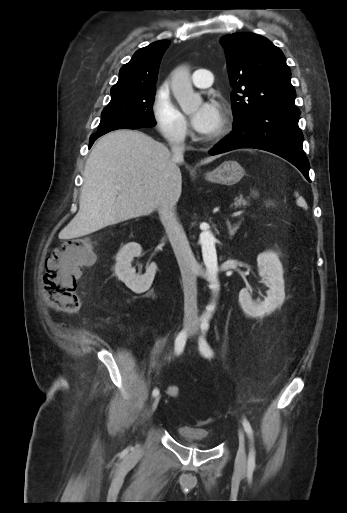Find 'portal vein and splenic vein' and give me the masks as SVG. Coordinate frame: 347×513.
<instances>
[{
	"mask_svg": "<svg viewBox=\"0 0 347 513\" xmlns=\"http://www.w3.org/2000/svg\"><path fill=\"white\" fill-rule=\"evenodd\" d=\"M118 189L120 190V187H118ZM239 214H243V211L239 212Z\"/></svg>",
	"mask_w": 347,
	"mask_h": 513,
	"instance_id": "18ae733b",
	"label": "portal vein and splenic vein"
}]
</instances>
